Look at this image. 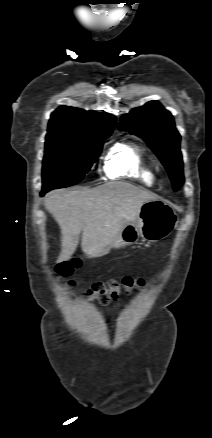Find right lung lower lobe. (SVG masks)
<instances>
[{
    "mask_svg": "<svg viewBox=\"0 0 212 438\" xmlns=\"http://www.w3.org/2000/svg\"><path fill=\"white\" fill-rule=\"evenodd\" d=\"M50 190V188H43V190H42V192H41V196H44V194L46 193V192H48Z\"/></svg>",
    "mask_w": 212,
    "mask_h": 438,
    "instance_id": "obj_1",
    "label": "right lung lower lobe"
}]
</instances>
